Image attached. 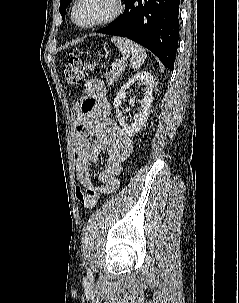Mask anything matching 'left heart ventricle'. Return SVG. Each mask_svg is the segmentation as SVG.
<instances>
[{"instance_id":"obj_1","label":"left heart ventricle","mask_w":239,"mask_h":303,"mask_svg":"<svg viewBox=\"0 0 239 303\" xmlns=\"http://www.w3.org/2000/svg\"><path fill=\"white\" fill-rule=\"evenodd\" d=\"M113 0H80L76 8V20L87 24L101 19L113 12Z\"/></svg>"}]
</instances>
